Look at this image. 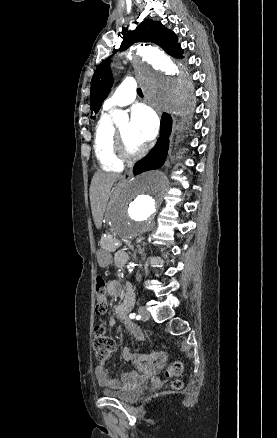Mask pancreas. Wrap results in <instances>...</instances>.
Listing matches in <instances>:
<instances>
[{
  "label": "pancreas",
  "mask_w": 277,
  "mask_h": 438,
  "mask_svg": "<svg viewBox=\"0 0 277 438\" xmlns=\"http://www.w3.org/2000/svg\"><path fill=\"white\" fill-rule=\"evenodd\" d=\"M102 248H105L107 253H114L116 248H123V239H117L113 231H104L99 238Z\"/></svg>",
  "instance_id": "obj_1"
}]
</instances>
